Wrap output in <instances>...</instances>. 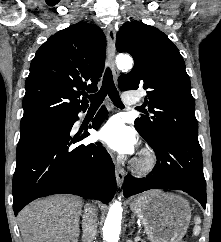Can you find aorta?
I'll return each mask as SVG.
<instances>
[{"label":"aorta","instance_id":"762f6f07","mask_svg":"<svg viewBox=\"0 0 221 242\" xmlns=\"http://www.w3.org/2000/svg\"><path fill=\"white\" fill-rule=\"evenodd\" d=\"M118 69L126 72L132 68L133 60L130 56L121 55L116 58ZM122 206L120 201H115L109 209L103 226V239L105 242H118L121 230Z\"/></svg>","mask_w":221,"mask_h":242}]
</instances>
